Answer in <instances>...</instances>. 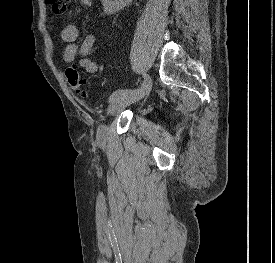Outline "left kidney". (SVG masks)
I'll list each match as a JSON object with an SVG mask.
<instances>
[{
    "mask_svg": "<svg viewBox=\"0 0 275 263\" xmlns=\"http://www.w3.org/2000/svg\"><path fill=\"white\" fill-rule=\"evenodd\" d=\"M132 0H102L104 11L113 14L124 8Z\"/></svg>",
    "mask_w": 275,
    "mask_h": 263,
    "instance_id": "5707ae66",
    "label": "left kidney"
}]
</instances>
